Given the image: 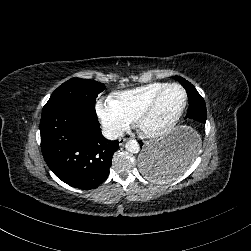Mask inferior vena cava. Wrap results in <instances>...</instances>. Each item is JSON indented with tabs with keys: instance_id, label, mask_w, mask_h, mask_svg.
Listing matches in <instances>:
<instances>
[{
	"instance_id": "602c4592",
	"label": "inferior vena cava",
	"mask_w": 251,
	"mask_h": 251,
	"mask_svg": "<svg viewBox=\"0 0 251 251\" xmlns=\"http://www.w3.org/2000/svg\"><path fill=\"white\" fill-rule=\"evenodd\" d=\"M102 135L108 140H116L124 136V132L121 128L115 125L106 124L101 129Z\"/></svg>"
}]
</instances>
